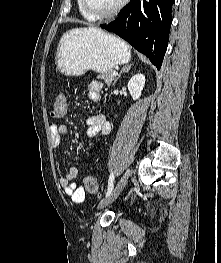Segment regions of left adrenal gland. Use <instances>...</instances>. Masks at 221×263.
<instances>
[{
  "label": "left adrenal gland",
  "instance_id": "a2214340",
  "mask_svg": "<svg viewBox=\"0 0 221 263\" xmlns=\"http://www.w3.org/2000/svg\"><path fill=\"white\" fill-rule=\"evenodd\" d=\"M130 68H131V65L123 67L121 72L119 73V75L115 79L113 85L116 83L117 79L121 76V74L124 73V72H128L130 70Z\"/></svg>",
  "mask_w": 221,
  "mask_h": 263
}]
</instances>
